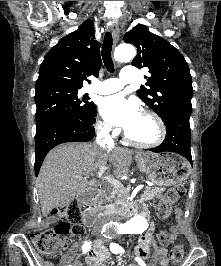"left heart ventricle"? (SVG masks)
Masks as SVG:
<instances>
[{"label": "left heart ventricle", "instance_id": "b2bd125f", "mask_svg": "<svg viewBox=\"0 0 221 266\" xmlns=\"http://www.w3.org/2000/svg\"><path fill=\"white\" fill-rule=\"evenodd\" d=\"M127 133L137 141H150L156 135V127L150 118L141 115L137 123L127 130Z\"/></svg>", "mask_w": 221, "mask_h": 266}]
</instances>
